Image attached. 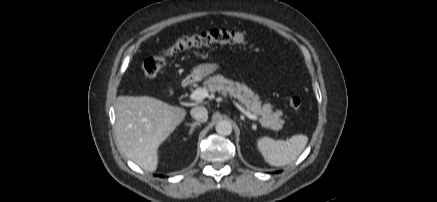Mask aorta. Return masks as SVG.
<instances>
[{
  "instance_id": "762f6f07",
  "label": "aorta",
  "mask_w": 437,
  "mask_h": 202,
  "mask_svg": "<svg viewBox=\"0 0 437 202\" xmlns=\"http://www.w3.org/2000/svg\"><path fill=\"white\" fill-rule=\"evenodd\" d=\"M217 133L220 135L228 136L232 133V125L227 120L219 121L215 127Z\"/></svg>"
}]
</instances>
